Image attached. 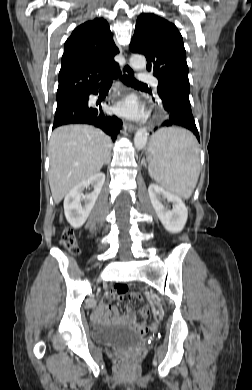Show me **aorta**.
Segmentation results:
<instances>
[{"label":"aorta","instance_id":"762f6f07","mask_svg":"<svg viewBox=\"0 0 252 390\" xmlns=\"http://www.w3.org/2000/svg\"><path fill=\"white\" fill-rule=\"evenodd\" d=\"M130 65L135 70H142L146 67V59L142 55H132L130 58ZM147 138V130L145 128L138 129L134 137L135 147L138 149H142L147 143Z\"/></svg>","mask_w":252,"mask_h":390}]
</instances>
